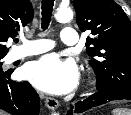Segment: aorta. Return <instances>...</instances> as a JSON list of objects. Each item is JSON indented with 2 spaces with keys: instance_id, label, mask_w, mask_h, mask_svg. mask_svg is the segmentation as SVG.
<instances>
[{
  "instance_id": "1",
  "label": "aorta",
  "mask_w": 131,
  "mask_h": 115,
  "mask_svg": "<svg viewBox=\"0 0 131 115\" xmlns=\"http://www.w3.org/2000/svg\"><path fill=\"white\" fill-rule=\"evenodd\" d=\"M55 18L59 22L70 21L73 18V12L70 8H59L55 14ZM58 115V114H54Z\"/></svg>"
}]
</instances>
